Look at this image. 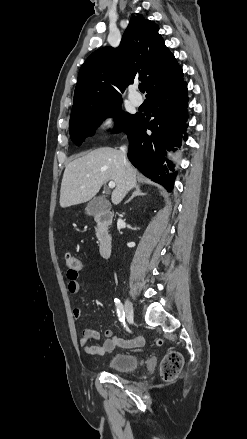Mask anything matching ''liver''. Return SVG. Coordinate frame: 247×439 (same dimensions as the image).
I'll use <instances>...</instances> for the list:
<instances>
[{
	"label": "liver",
	"instance_id": "obj_1",
	"mask_svg": "<svg viewBox=\"0 0 247 439\" xmlns=\"http://www.w3.org/2000/svg\"><path fill=\"white\" fill-rule=\"evenodd\" d=\"M108 181L116 185L111 195L115 205L137 186L136 169L122 151L102 147L73 160L63 174L60 206L67 208L91 200Z\"/></svg>",
	"mask_w": 247,
	"mask_h": 439
}]
</instances>
